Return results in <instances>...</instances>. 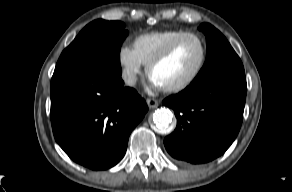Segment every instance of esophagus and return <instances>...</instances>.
<instances>
[{"mask_svg":"<svg viewBox=\"0 0 292 192\" xmlns=\"http://www.w3.org/2000/svg\"><path fill=\"white\" fill-rule=\"evenodd\" d=\"M146 102H147L148 107L151 109L157 108L159 105L158 101L154 98H148Z\"/></svg>","mask_w":292,"mask_h":192,"instance_id":"34e87169","label":"esophagus"}]
</instances>
